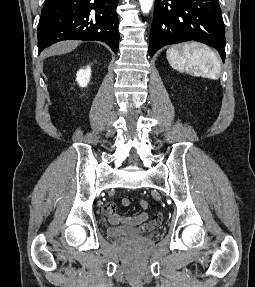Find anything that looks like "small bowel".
Segmentation results:
<instances>
[{
	"instance_id": "obj_1",
	"label": "small bowel",
	"mask_w": 255,
	"mask_h": 287,
	"mask_svg": "<svg viewBox=\"0 0 255 287\" xmlns=\"http://www.w3.org/2000/svg\"><path fill=\"white\" fill-rule=\"evenodd\" d=\"M123 206L130 205L129 198H123L121 200ZM105 214L111 224H124L131 227H140L144 229H153L159 226L162 222L163 216L161 213H157L151 218L146 213H138L131 216H123L116 212V204L108 203L104 208Z\"/></svg>"
}]
</instances>
